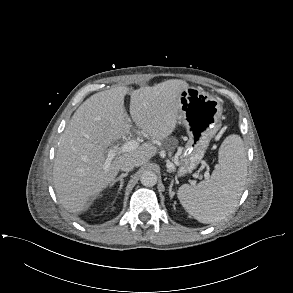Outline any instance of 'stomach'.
Returning a JSON list of instances; mask_svg holds the SVG:
<instances>
[{"label": "stomach", "instance_id": "0dacf381", "mask_svg": "<svg viewBox=\"0 0 293 293\" xmlns=\"http://www.w3.org/2000/svg\"><path fill=\"white\" fill-rule=\"evenodd\" d=\"M179 101V121L186 127L189 136L178 170V175L184 176L197 167L210 140L220 129L223 108L216 98L195 87L183 89Z\"/></svg>", "mask_w": 293, "mask_h": 293}]
</instances>
